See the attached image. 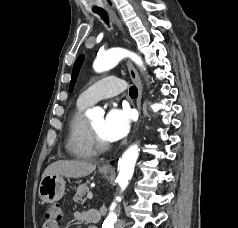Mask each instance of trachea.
I'll return each instance as SVG.
<instances>
[{
    "label": "trachea",
    "instance_id": "obj_1",
    "mask_svg": "<svg viewBox=\"0 0 238 228\" xmlns=\"http://www.w3.org/2000/svg\"><path fill=\"white\" fill-rule=\"evenodd\" d=\"M97 14L101 16V18L108 24V14L104 10L95 11ZM129 95L131 98H136L138 96V90L135 86H131L129 89Z\"/></svg>",
    "mask_w": 238,
    "mask_h": 228
}]
</instances>
